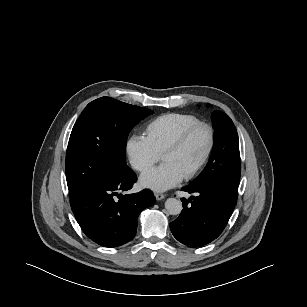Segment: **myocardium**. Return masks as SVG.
<instances>
[{
    "label": "myocardium",
    "instance_id": "1",
    "mask_svg": "<svg viewBox=\"0 0 307 307\" xmlns=\"http://www.w3.org/2000/svg\"><path fill=\"white\" fill-rule=\"evenodd\" d=\"M203 128L207 131L208 134V146L207 149L200 160V162L186 175H184V179L190 180L196 177L202 169L205 167V165L208 163L212 152L214 150L215 146V131L213 127L206 123V122H198L195 124H192L188 126L186 129H184L175 139L174 141L167 146V148L162 153V159L165 155L168 153H172L174 151H177L180 149L183 144L188 140V138L198 129Z\"/></svg>",
    "mask_w": 307,
    "mask_h": 307
}]
</instances>
